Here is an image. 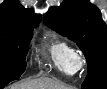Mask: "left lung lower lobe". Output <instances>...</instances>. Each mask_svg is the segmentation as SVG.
Here are the masks:
<instances>
[{"mask_svg": "<svg viewBox=\"0 0 107 89\" xmlns=\"http://www.w3.org/2000/svg\"><path fill=\"white\" fill-rule=\"evenodd\" d=\"M92 89H107V84L101 85V86H98V87H95V88H92Z\"/></svg>", "mask_w": 107, "mask_h": 89, "instance_id": "1", "label": "left lung lower lobe"}]
</instances>
